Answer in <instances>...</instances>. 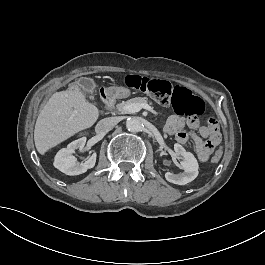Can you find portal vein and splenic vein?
Masks as SVG:
<instances>
[{
	"label": "portal vein and splenic vein",
	"instance_id": "1",
	"mask_svg": "<svg viewBox=\"0 0 265 265\" xmlns=\"http://www.w3.org/2000/svg\"><path fill=\"white\" fill-rule=\"evenodd\" d=\"M125 108H126V110L129 113L139 112L142 108L143 109H146L148 111H151L152 110V108L148 104H129V105H126Z\"/></svg>",
	"mask_w": 265,
	"mask_h": 265
}]
</instances>
